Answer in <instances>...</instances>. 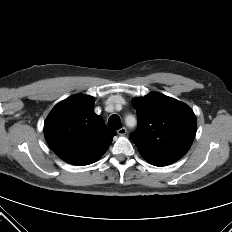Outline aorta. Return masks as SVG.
Returning a JSON list of instances; mask_svg holds the SVG:
<instances>
[{"mask_svg": "<svg viewBox=\"0 0 232 232\" xmlns=\"http://www.w3.org/2000/svg\"><path fill=\"white\" fill-rule=\"evenodd\" d=\"M129 119H134V118H133L132 116H130V117L127 118V121H128Z\"/></svg>", "mask_w": 232, "mask_h": 232, "instance_id": "1", "label": "aorta"}]
</instances>
